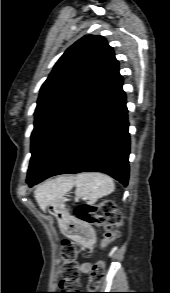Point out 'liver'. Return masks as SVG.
<instances>
[{
    "label": "liver",
    "instance_id": "obj_1",
    "mask_svg": "<svg viewBox=\"0 0 170 293\" xmlns=\"http://www.w3.org/2000/svg\"><path fill=\"white\" fill-rule=\"evenodd\" d=\"M73 177L59 178L54 182L45 184L35 191V198L41 209H44L50 199L61 194V191L69 190L73 185Z\"/></svg>",
    "mask_w": 170,
    "mask_h": 293
}]
</instances>
